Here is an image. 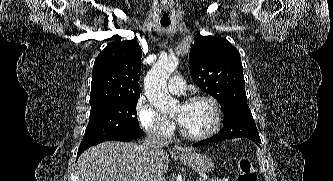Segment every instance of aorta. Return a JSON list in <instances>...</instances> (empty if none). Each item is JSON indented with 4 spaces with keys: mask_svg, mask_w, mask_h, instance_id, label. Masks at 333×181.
Here are the masks:
<instances>
[{
    "mask_svg": "<svg viewBox=\"0 0 333 181\" xmlns=\"http://www.w3.org/2000/svg\"><path fill=\"white\" fill-rule=\"evenodd\" d=\"M179 64L174 56L160 58L144 79L145 95L159 111L169 113L178 106V100L171 97L167 90V80Z\"/></svg>",
    "mask_w": 333,
    "mask_h": 181,
    "instance_id": "aorta-1",
    "label": "aorta"
}]
</instances>
